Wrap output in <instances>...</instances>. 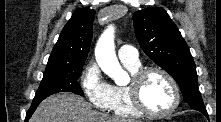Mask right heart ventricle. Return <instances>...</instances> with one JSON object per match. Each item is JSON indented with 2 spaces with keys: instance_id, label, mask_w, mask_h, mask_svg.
<instances>
[{
  "instance_id": "e07e8e85",
  "label": "right heart ventricle",
  "mask_w": 221,
  "mask_h": 122,
  "mask_svg": "<svg viewBox=\"0 0 221 122\" xmlns=\"http://www.w3.org/2000/svg\"><path fill=\"white\" fill-rule=\"evenodd\" d=\"M126 69L133 75L140 69V64L131 65L123 63ZM111 93L107 109L119 117L135 118L142 114L134 107L130 99L127 86L110 85Z\"/></svg>"
}]
</instances>
